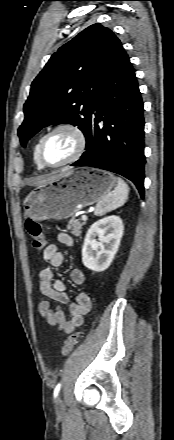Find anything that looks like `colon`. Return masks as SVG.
Returning <instances> with one entry per match:
<instances>
[{
    "instance_id": "5ec220e1",
    "label": "colon",
    "mask_w": 174,
    "mask_h": 440,
    "mask_svg": "<svg viewBox=\"0 0 174 440\" xmlns=\"http://www.w3.org/2000/svg\"><path fill=\"white\" fill-rule=\"evenodd\" d=\"M25 227L29 236L31 237L33 249L36 251H41L45 247L46 243L41 224L34 220L28 219L25 223ZM81 337L82 333L79 331L69 335L62 346V355H69Z\"/></svg>"
}]
</instances>
